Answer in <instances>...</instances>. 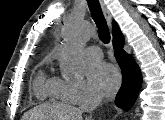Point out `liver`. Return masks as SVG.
<instances>
[{
    "instance_id": "6515ba94",
    "label": "liver",
    "mask_w": 165,
    "mask_h": 120,
    "mask_svg": "<svg viewBox=\"0 0 165 120\" xmlns=\"http://www.w3.org/2000/svg\"><path fill=\"white\" fill-rule=\"evenodd\" d=\"M60 118L59 120H82L79 109L66 104L57 106H41L24 114L23 120H43V118Z\"/></svg>"
}]
</instances>
